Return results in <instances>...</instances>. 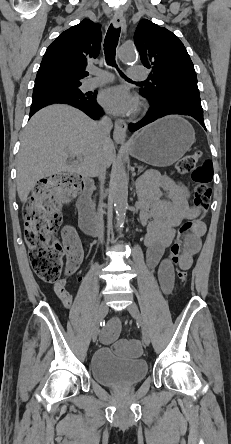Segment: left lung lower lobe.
Segmentation results:
<instances>
[{
    "mask_svg": "<svg viewBox=\"0 0 231 444\" xmlns=\"http://www.w3.org/2000/svg\"><path fill=\"white\" fill-rule=\"evenodd\" d=\"M169 114H181V115H189L195 118L203 127L204 120H203V109L200 106L197 105H191V104H184L180 103L177 105H174L172 107H155L152 106V108L148 111L147 116L142 119L141 121L137 123H130L129 124V130L131 132H134L141 127L157 120L158 118H161L163 116L169 115Z\"/></svg>",
    "mask_w": 231,
    "mask_h": 444,
    "instance_id": "left-lung-lower-lobe-1",
    "label": "left lung lower lobe"
}]
</instances>
